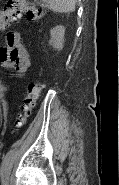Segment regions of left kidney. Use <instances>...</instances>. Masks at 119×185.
I'll list each match as a JSON object with an SVG mask.
<instances>
[{
    "mask_svg": "<svg viewBox=\"0 0 119 185\" xmlns=\"http://www.w3.org/2000/svg\"><path fill=\"white\" fill-rule=\"evenodd\" d=\"M65 28L58 25L50 30L51 39L49 44L57 50H61L64 44Z\"/></svg>",
    "mask_w": 119,
    "mask_h": 185,
    "instance_id": "left-kidney-1",
    "label": "left kidney"
}]
</instances>
